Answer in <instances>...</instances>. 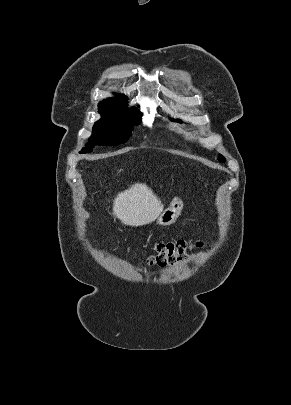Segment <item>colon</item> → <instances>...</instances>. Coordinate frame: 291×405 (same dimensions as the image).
Instances as JSON below:
<instances>
[{
  "label": "colon",
  "mask_w": 291,
  "mask_h": 405,
  "mask_svg": "<svg viewBox=\"0 0 291 405\" xmlns=\"http://www.w3.org/2000/svg\"><path fill=\"white\" fill-rule=\"evenodd\" d=\"M202 242L190 244L185 240L160 242L154 248V253L148 258L146 265L173 266L186 263L193 248L201 249Z\"/></svg>",
  "instance_id": "5ec220e1"
}]
</instances>
